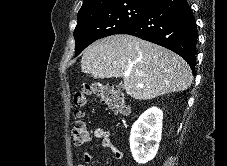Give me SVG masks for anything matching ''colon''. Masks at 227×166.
<instances>
[{"instance_id": "obj_1", "label": "colon", "mask_w": 227, "mask_h": 166, "mask_svg": "<svg viewBox=\"0 0 227 166\" xmlns=\"http://www.w3.org/2000/svg\"><path fill=\"white\" fill-rule=\"evenodd\" d=\"M91 96L98 97L117 114H125L129 111V106L124 94L114 87L96 82L84 85L74 96L76 110L71 134L73 142L76 145L86 144L91 138L87 124L83 119V109L88 105L89 97Z\"/></svg>"}]
</instances>
